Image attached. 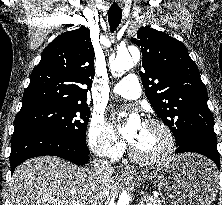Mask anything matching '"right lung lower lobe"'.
<instances>
[{
	"instance_id": "right-lung-lower-lobe-1",
	"label": "right lung lower lobe",
	"mask_w": 222,
	"mask_h": 205,
	"mask_svg": "<svg viewBox=\"0 0 222 205\" xmlns=\"http://www.w3.org/2000/svg\"><path fill=\"white\" fill-rule=\"evenodd\" d=\"M85 140L39 125L15 126L11 139V173L23 161L36 156H58L74 164L89 161Z\"/></svg>"
}]
</instances>
